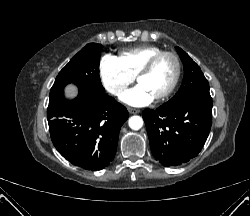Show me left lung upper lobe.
<instances>
[{"instance_id":"5c2ea615","label":"left lung upper lobe","mask_w":250,"mask_h":216,"mask_svg":"<svg viewBox=\"0 0 250 216\" xmlns=\"http://www.w3.org/2000/svg\"><path fill=\"white\" fill-rule=\"evenodd\" d=\"M176 50L184 65V78L179 91L165 104L174 105L194 99L212 102L209 83L200 67L181 48L176 47Z\"/></svg>"}]
</instances>
